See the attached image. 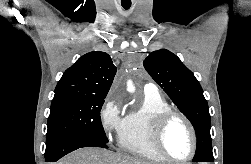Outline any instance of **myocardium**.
Here are the masks:
<instances>
[{"instance_id": "f54148a6", "label": "myocardium", "mask_w": 251, "mask_h": 164, "mask_svg": "<svg viewBox=\"0 0 251 164\" xmlns=\"http://www.w3.org/2000/svg\"><path fill=\"white\" fill-rule=\"evenodd\" d=\"M174 118L181 119L185 123L187 128L189 129V132L191 135V141H192L191 152L187 157H184V158L172 157L167 152V150L164 146L165 132H166L170 122ZM152 136H153V143H154L156 150L167 161L174 162V163H184V162L191 160L194 157V155L196 154L197 135H196L195 128H194L193 124L191 123V121L189 120V118L177 110H173V109L167 110V111L163 112L162 114H160L155 119Z\"/></svg>"}]
</instances>
